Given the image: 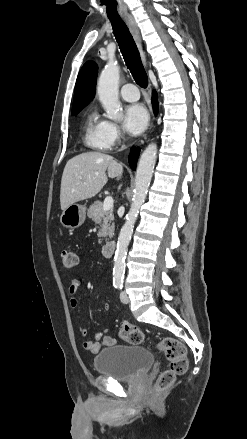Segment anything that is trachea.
<instances>
[{"label":"trachea","instance_id":"1","mask_svg":"<svg viewBox=\"0 0 247 439\" xmlns=\"http://www.w3.org/2000/svg\"><path fill=\"white\" fill-rule=\"evenodd\" d=\"M113 27L114 36L118 42L119 48L136 83L146 88L148 85V77L142 65L141 58L137 46L134 42L128 27L120 17L109 16Z\"/></svg>","mask_w":247,"mask_h":439}]
</instances>
